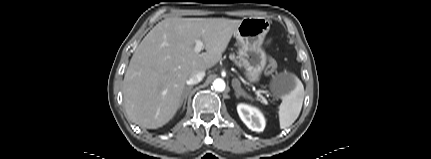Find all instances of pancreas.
<instances>
[{"instance_id": "cf45deb5", "label": "pancreas", "mask_w": 431, "mask_h": 159, "mask_svg": "<svg viewBox=\"0 0 431 159\" xmlns=\"http://www.w3.org/2000/svg\"><path fill=\"white\" fill-rule=\"evenodd\" d=\"M230 58H231L232 60H234V61H235V63H236L237 65L241 66V64H240L239 62H237V60H236V58H235V56H234V55H231V56H230Z\"/></svg>"}]
</instances>
